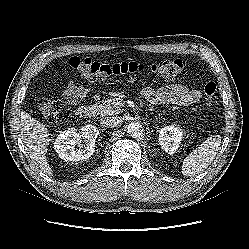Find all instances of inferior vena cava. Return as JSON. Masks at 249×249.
<instances>
[{
	"mask_svg": "<svg viewBox=\"0 0 249 249\" xmlns=\"http://www.w3.org/2000/svg\"><path fill=\"white\" fill-rule=\"evenodd\" d=\"M102 125L104 127H115L119 124V119L113 117H107L104 120L101 121Z\"/></svg>",
	"mask_w": 249,
	"mask_h": 249,
	"instance_id": "inferior-vena-cava-1",
	"label": "inferior vena cava"
}]
</instances>
